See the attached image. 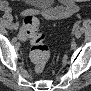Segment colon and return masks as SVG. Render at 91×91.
<instances>
[{
  "label": "colon",
  "instance_id": "1",
  "mask_svg": "<svg viewBox=\"0 0 91 91\" xmlns=\"http://www.w3.org/2000/svg\"><path fill=\"white\" fill-rule=\"evenodd\" d=\"M21 34L30 40V57L35 71L42 72L50 59V47L46 42V34L39 30V20L34 14L24 17Z\"/></svg>",
  "mask_w": 91,
  "mask_h": 91
}]
</instances>
